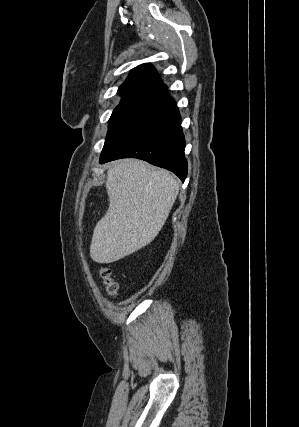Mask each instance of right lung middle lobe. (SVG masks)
Returning a JSON list of instances; mask_svg holds the SVG:
<instances>
[{"label": "right lung middle lobe", "instance_id": "1", "mask_svg": "<svg viewBox=\"0 0 299 427\" xmlns=\"http://www.w3.org/2000/svg\"><path fill=\"white\" fill-rule=\"evenodd\" d=\"M155 103L149 101L122 99L114 109L102 153L111 148L123 135L143 118Z\"/></svg>", "mask_w": 299, "mask_h": 427}]
</instances>
